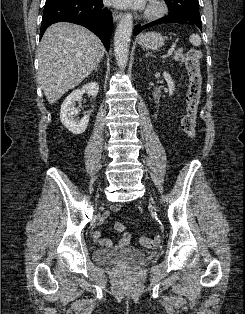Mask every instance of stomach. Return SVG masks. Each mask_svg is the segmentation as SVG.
Instances as JSON below:
<instances>
[{"label":"stomach","instance_id":"stomach-1","mask_svg":"<svg viewBox=\"0 0 245 314\" xmlns=\"http://www.w3.org/2000/svg\"><path fill=\"white\" fill-rule=\"evenodd\" d=\"M165 42V37L158 32H147L143 33L138 38V43L142 47L149 50L160 49Z\"/></svg>","mask_w":245,"mask_h":314}]
</instances>
